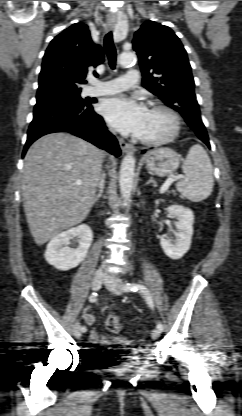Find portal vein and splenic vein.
<instances>
[{
    "label": "portal vein and splenic vein",
    "instance_id": "18ae733b",
    "mask_svg": "<svg viewBox=\"0 0 242 416\" xmlns=\"http://www.w3.org/2000/svg\"><path fill=\"white\" fill-rule=\"evenodd\" d=\"M179 178H181V176H173V177H169V178L166 180V182L164 183V185L161 187V189H160V193H161V194L165 193V192L168 190V188H169V186L171 185V183H172L175 179H179ZM78 184H80V183H78Z\"/></svg>",
    "mask_w": 242,
    "mask_h": 416
}]
</instances>
